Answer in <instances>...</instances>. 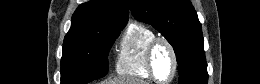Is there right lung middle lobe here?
I'll return each instance as SVG.
<instances>
[{"label":"right lung middle lobe","mask_w":260,"mask_h":84,"mask_svg":"<svg viewBox=\"0 0 260 84\" xmlns=\"http://www.w3.org/2000/svg\"><path fill=\"white\" fill-rule=\"evenodd\" d=\"M125 25L105 26L87 40L64 42L61 84H85L108 72V53Z\"/></svg>","instance_id":"right-lung-middle-lobe-1"}]
</instances>
